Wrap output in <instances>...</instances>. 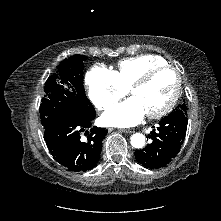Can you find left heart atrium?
<instances>
[{
  "instance_id": "obj_1",
  "label": "left heart atrium",
  "mask_w": 221,
  "mask_h": 221,
  "mask_svg": "<svg viewBox=\"0 0 221 221\" xmlns=\"http://www.w3.org/2000/svg\"><path fill=\"white\" fill-rule=\"evenodd\" d=\"M139 100L131 97L122 103L111 106L102 116L106 125L129 127L139 123L145 115Z\"/></svg>"
}]
</instances>
